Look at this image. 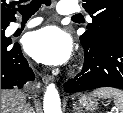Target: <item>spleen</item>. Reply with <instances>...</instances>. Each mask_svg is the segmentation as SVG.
Here are the masks:
<instances>
[{"instance_id":"obj_1","label":"spleen","mask_w":123,"mask_h":113,"mask_svg":"<svg viewBox=\"0 0 123 113\" xmlns=\"http://www.w3.org/2000/svg\"><path fill=\"white\" fill-rule=\"evenodd\" d=\"M91 96L103 99L113 98L116 107L123 113V91L114 88H100L93 91Z\"/></svg>"}]
</instances>
